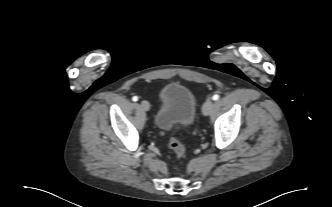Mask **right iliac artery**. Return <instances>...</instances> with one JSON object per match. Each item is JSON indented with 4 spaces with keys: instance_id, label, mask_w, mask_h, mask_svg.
Here are the masks:
<instances>
[{
    "instance_id": "obj_1",
    "label": "right iliac artery",
    "mask_w": 332,
    "mask_h": 207,
    "mask_svg": "<svg viewBox=\"0 0 332 207\" xmlns=\"http://www.w3.org/2000/svg\"><path fill=\"white\" fill-rule=\"evenodd\" d=\"M132 100H133V101H137V100H138V97H137V96H134V97L132 98Z\"/></svg>"
}]
</instances>
